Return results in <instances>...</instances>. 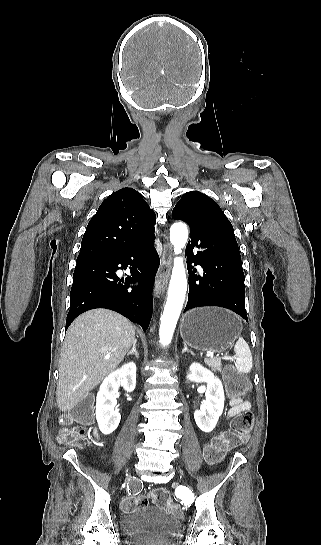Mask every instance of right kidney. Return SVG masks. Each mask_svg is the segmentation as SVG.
Returning <instances> with one entry per match:
<instances>
[{"label":"right kidney","instance_id":"obj_1","mask_svg":"<svg viewBox=\"0 0 321 545\" xmlns=\"http://www.w3.org/2000/svg\"><path fill=\"white\" fill-rule=\"evenodd\" d=\"M122 385L127 393L136 387V365L127 363L104 379L96 397V421L103 435H110L117 429L121 415L115 411L118 389Z\"/></svg>","mask_w":321,"mask_h":545}]
</instances>
